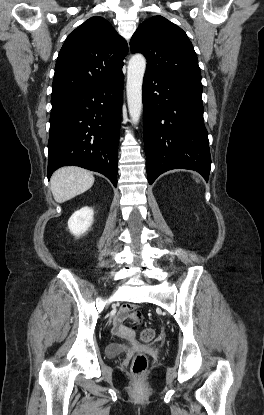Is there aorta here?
Here are the masks:
<instances>
[{
  "mask_svg": "<svg viewBox=\"0 0 264 415\" xmlns=\"http://www.w3.org/2000/svg\"><path fill=\"white\" fill-rule=\"evenodd\" d=\"M146 69V59L142 54L131 57L127 69V102L133 124L139 122L142 110V82Z\"/></svg>",
  "mask_w": 264,
  "mask_h": 415,
  "instance_id": "obj_1",
  "label": "aorta"
}]
</instances>
